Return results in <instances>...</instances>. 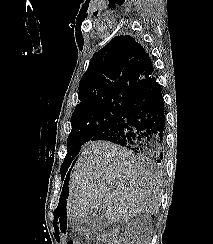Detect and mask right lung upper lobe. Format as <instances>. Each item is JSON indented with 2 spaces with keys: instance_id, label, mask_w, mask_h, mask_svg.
Returning <instances> with one entry per match:
<instances>
[{
  "instance_id": "right-lung-upper-lobe-1",
  "label": "right lung upper lobe",
  "mask_w": 213,
  "mask_h": 244,
  "mask_svg": "<svg viewBox=\"0 0 213 244\" xmlns=\"http://www.w3.org/2000/svg\"><path fill=\"white\" fill-rule=\"evenodd\" d=\"M153 75V64L141 43L129 35L116 36L91 58L80 81L76 108L108 95L133 97Z\"/></svg>"
}]
</instances>
